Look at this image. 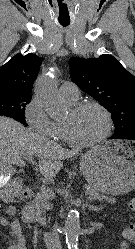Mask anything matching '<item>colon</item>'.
<instances>
[{
    "mask_svg": "<svg viewBox=\"0 0 135 249\" xmlns=\"http://www.w3.org/2000/svg\"><path fill=\"white\" fill-rule=\"evenodd\" d=\"M129 207L130 209L135 212V198H132L130 201H129ZM124 242H123V247L126 248V247H129V243L130 242H133L135 243V223L133 224H130L125 232H124Z\"/></svg>",
    "mask_w": 135,
    "mask_h": 249,
    "instance_id": "1",
    "label": "colon"
}]
</instances>
